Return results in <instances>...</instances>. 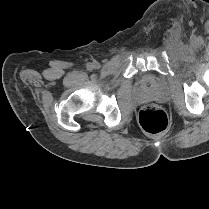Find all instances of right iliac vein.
Returning <instances> with one entry per match:
<instances>
[{"label": "right iliac vein", "mask_w": 209, "mask_h": 209, "mask_svg": "<svg viewBox=\"0 0 209 209\" xmlns=\"http://www.w3.org/2000/svg\"><path fill=\"white\" fill-rule=\"evenodd\" d=\"M99 67H100V65H99V64H96V65H95V68H99Z\"/></svg>", "instance_id": "obj_1"}]
</instances>
